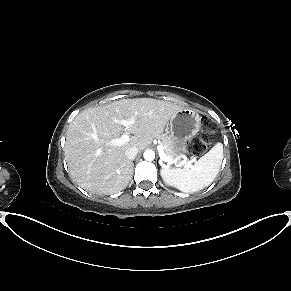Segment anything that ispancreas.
<instances>
[{
	"instance_id": "pancreas-1",
	"label": "pancreas",
	"mask_w": 291,
	"mask_h": 291,
	"mask_svg": "<svg viewBox=\"0 0 291 291\" xmlns=\"http://www.w3.org/2000/svg\"><path fill=\"white\" fill-rule=\"evenodd\" d=\"M161 146L164 150V153L166 156L172 157V151H171V140L167 136L162 137Z\"/></svg>"
}]
</instances>
